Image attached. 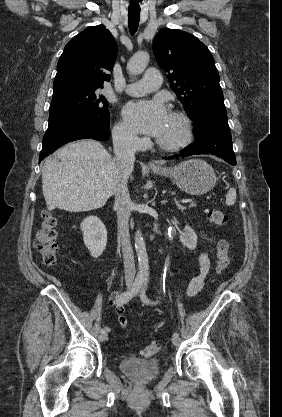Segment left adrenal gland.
<instances>
[{"mask_svg": "<svg viewBox=\"0 0 282 417\" xmlns=\"http://www.w3.org/2000/svg\"><path fill=\"white\" fill-rule=\"evenodd\" d=\"M162 204H165V202H167V200H161Z\"/></svg>", "mask_w": 282, "mask_h": 417, "instance_id": "1", "label": "left adrenal gland"}]
</instances>
